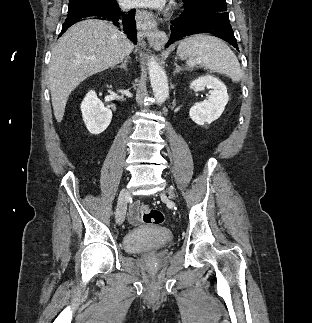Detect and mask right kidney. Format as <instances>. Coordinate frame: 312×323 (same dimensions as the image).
<instances>
[{
  "label": "right kidney",
  "mask_w": 312,
  "mask_h": 323,
  "mask_svg": "<svg viewBox=\"0 0 312 323\" xmlns=\"http://www.w3.org/2000/svg\"><path fill=\"white\" fill-rule=\"evenodd\" d=\"M82 118L90 134H101L112 120V112L98 100L96 92L90 90L81 104Z\"/></svg>",
  "instance_id": "1"
}]
</instances>
